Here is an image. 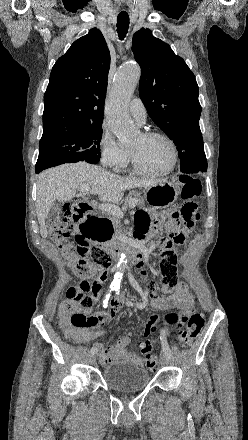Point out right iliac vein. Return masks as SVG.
I'll return each instance as SVG.
<instances>
[{"instance_id": "63e3f726", "label": "right iliac vein", "mask_w": 248, "mask_h": 440, "mask_svg": "<svg viewBox=\"0 0 248 440\" xmlns=\"http://www.w3.org/2000/svg\"><path fill=\"white\" fill-rule=\"evenodd\" d=\"M89 361L91 364H93L96 361V355L91 353L89 356Z\"/></svg>"}]
</instances>
